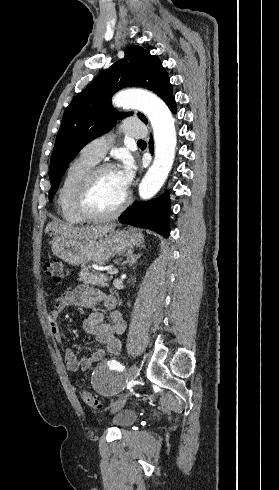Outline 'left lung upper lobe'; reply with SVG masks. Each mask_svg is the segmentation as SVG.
Instances as JSON below:
<instances>
[{"label":"left lung upper lobe","instance_id":"left-lung-upper-lobe-1","mask_svg":"<svg viewBox=\"0 0 279 490\" xmlns=\"http://www.w3.org/2000/svg\"><path fill=\"white\" fill-rule=\"evenodd\" d=\"M143 87L155 92L167 104L173 97L168 73L157 56L140 46H133L125 57L103 71L91 85L79 93L66 108L52 152L49 178L52 200L68 164L92 139L108 132L116 117L132 113H118L111 106V97L124 87ZM147 123L146 117L138 113Z\"/></svg>","mask_w":279,"mask_h":490}]
</instances>
